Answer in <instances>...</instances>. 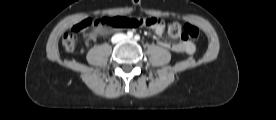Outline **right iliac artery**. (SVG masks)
<instances>
[{
    "label": "right iliac artery",
    "instance_id": "1",
    "mask_svg": "<svg viewBox=\"0 0 276 120\" xmlns=\"http://www.w3.org/2000/svg\"><path fill=\"white\" fill-rule=\"evenodd\" d=\"M127 36H128L129 38H131V37L133 36V32H132V31H128V32H127Z\"/></svg>",
    "mask_w": 276,
    "mask_h": 120
}]
</instances>
